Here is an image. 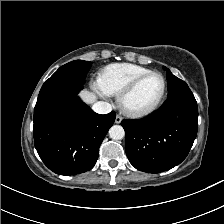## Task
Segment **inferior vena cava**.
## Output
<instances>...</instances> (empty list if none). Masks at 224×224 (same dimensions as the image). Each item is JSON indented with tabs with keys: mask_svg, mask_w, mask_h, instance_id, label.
<instances>
[{
	"mask_svg": "<svg viewBox=\"0 0 224 224\" xmlns=\"http://www.w3.org/2000/svg\"><path fill=\"white\" fill-rule=\"evenodd\" d=\"M93 110L98 114H107L112 111V106L108 102L99 101L93 105Z\"/></svg>",
	"mask_w": 224,
	"mask_h": 224,
	"instance_id": "1",
	"label": "inferior vena cava"
}]
</instances>
